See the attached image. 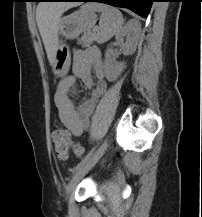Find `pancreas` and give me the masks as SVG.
<instances>
[{
  "label": "pancreas",
  "instance_id": "cf45deb5",
  "mask_svg": "<svg viewBox=\"0 0 202 217\" xmlns=\"http://www.w3.org/2000/svg\"><path fill=\"white\" fill-rule=\"evenodd\" d=\"M96 39L95 33L88 32L83 35V37L80 40V43H82L83 47H89Z\"/></svg>",
  "mask_w": 202,
  "mask_h": 217
}]
</instances>
